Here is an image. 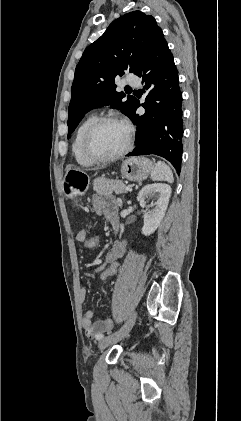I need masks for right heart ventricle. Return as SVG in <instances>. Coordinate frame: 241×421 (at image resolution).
I'll list each match as a JSON object with an SVG mask.
<instances>
[{
	"label": "right heart ventricle",
	"instance_id": "right-heart-ventricle-1",
	"mask_svg": "<svg viewBox=\"0 0 241 421\" xmlns=\"http://www.w3.org/2000/svg\"><path fill=\"white\" fill-rule=\"evenodd\" d=\"M96 119L97 117L94 114L87 116L79 124L73 137L72 154L75 161L81 166H91L95 163L84 154L83 149H82V141H83V137L86 130Z\"/></svg>",
	"mask_w": 241,
	"mask_h": 421
}]
</instances>
